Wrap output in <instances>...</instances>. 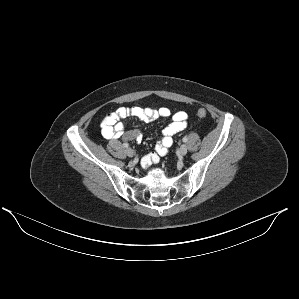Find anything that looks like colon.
<instances>
[{"label": "colon", "mask_w": 299, "mask_h": 299, "mask_svg": "<svg viewBox=\"0 0 299 299\" xmlns=\"http://www.w3.org/2000/svg\"><path fill=\"white\" fill-rule=\"evenodd\" d=\"M206 115H207V112L205 109H199L197 112V116L200 118H204V117H206Z\"/></svg>", "instance_id": "5ec220e1"}]
</instances>
